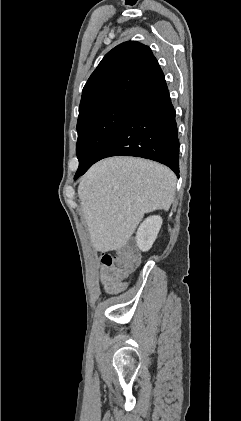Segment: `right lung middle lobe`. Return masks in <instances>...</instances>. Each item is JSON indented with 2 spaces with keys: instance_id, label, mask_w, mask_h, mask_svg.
Segmentation results:
<instances>
[{
  "instance_id": "1",
  "label": "right lung middle lobe",
  "mask_w": 241,
  "mask_h": 421,
  "mask_svg": "<svg viewBox=\"0 0 241 421\" xmlns=\"http://www.w3.org/2000/svg\"><path fill=\"white\" fill-rule=\"evenodd\" d=\"M131 101L116 102L78 118L76 145L78 170L89 168L117 131Z\"/></svg>"
}]
</instances>
